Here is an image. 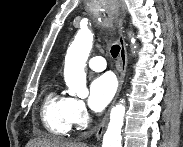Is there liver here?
<instances>
[{
	"mask_svg": "<svg viewBox=\"0 0 183 147\" xmlns=\"http://www.w3.org/2000/svg\"><path fill=\"white\" fill-rule=\"evenodd\" d=\"M26 147H86V145L65 141L57 137H38L29 141Z\"/></svg>",
	"mask_w": 183,
	"mask_h": 147,
	"instance_id": "6515ba94",
	"label": "liver"
}]
</instances>
